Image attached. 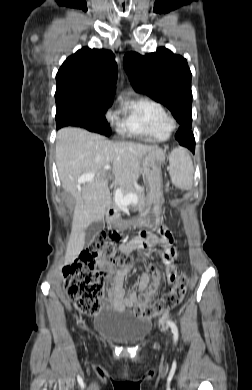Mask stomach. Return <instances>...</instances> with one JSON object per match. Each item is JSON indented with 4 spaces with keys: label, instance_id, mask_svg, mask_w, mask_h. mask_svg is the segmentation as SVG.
Segmentation results:
<instances>
[{
    "label": "stomach",
    "instance_id": "stomach-1",
    "mask_svg": "<svg viewBox=\"0 0 252 390\" xmlns=\"http://www.w3.org/2000/svg\"><path fill=\"white\" fill-rule=\"evenodd\" d=\"M165 156L162 151L154 150L146 154L141 162L142 174L146 177L150 193L147 201L141 206L136 224L140 227L153 228L162 220V174L161 165Z\"/></svg>",
    "mask_w": 252,
    "mask_h": 390
}]
</instances>
